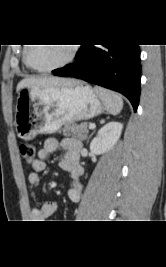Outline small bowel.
Instances as JSON below:
<instances>
[{"label": "small bowel", "instance_id": "1", "mask_svg": "<svg viewBox=\"0 0 166 267\" xmlns=\"http://www.w3.org/2000/svg\"><path fill=\"white\" fill-rule=\"evenodd\" d=\"M82 144L76 138H65L58 141L55 138H48L44 146L39 149L37 158L31 163V171L28 179L30 184L37 187L41 183V173L46 169V160L58 149L63 150L64 156L60 160V167L67 171L72 179L68 190V197L72 202H78L82 194L81 176L83 168L79 163V156ZM58 205L54 201H45L40 208L31 212V218L36 222H42L56 213Z\"/></svg>", "mask_w": 166, "mask_h": 267}]
</instances>
